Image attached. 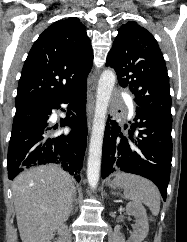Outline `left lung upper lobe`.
Wrapping results in <instances>:
<instances>
[{
    "label": "left lung upper lobe",
    "instance_id": "5c2ea615",
    "mask_svg": "<svg viewBox=\"0 0 187 242\" xmlns=\"http://www.w3.org/2000/svg\"><path fill=\"white\" fill-rule=\"evenodd\" d=\"M118 32L106 66L114 68L120 86L129 87L134 93L137 106L172 116L169 77L157 41L145 28L131 21Z\"/></svg>",
    "mask_w": 187,
    "mask_h": 242
}]
</instances>
